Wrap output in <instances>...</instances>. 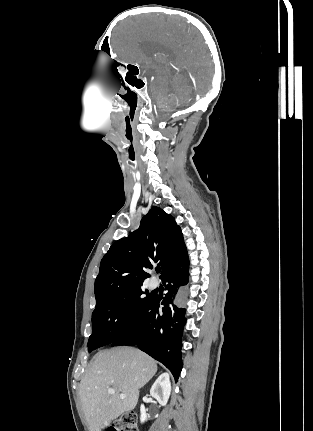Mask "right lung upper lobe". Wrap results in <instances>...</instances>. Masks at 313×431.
Here are the masks:
<instances>
[{
	"mask_svg": "<svg viewBox=\"0 0 313 431\" xmlns=\"http://www.w3.org/2000/svg\"><path fill=\"white\" fill-rule=\"evenodd\" d=\"M185 247L174 217L153 206L138 230L116 241L102 258L95 280L96 301L142 286L149 277L144 270L152 268L153 262L161 266L162 278Z\"/></svg>",
	"mask_w": 313,
	"mask_h": 431,
	"instance_id": "1",
	"label": "right lung upper lobe"
}]
</instances>
